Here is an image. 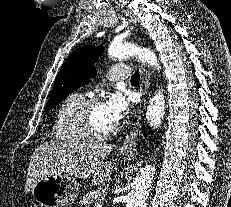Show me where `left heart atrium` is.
Wrapping results in <instances>:
<instances>
[{"mask_svg":"<svg viewBox=\"0 0 231 207\" xmlns=\"http://www.w3.org/2000/svg\"><path fill=\"white\" fill-rule=\"evenodd\" d=\"M130 102L121 93H110L103 101V107L109 118L117 124L128 114Z\"/></svg>","mask_w":231,"mask_h":207,"instance_id":"1","label":"left heart atrium"}]
</instances>
